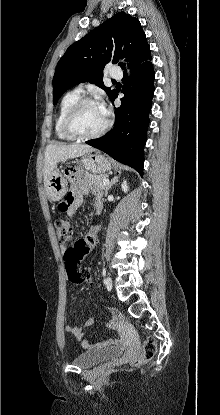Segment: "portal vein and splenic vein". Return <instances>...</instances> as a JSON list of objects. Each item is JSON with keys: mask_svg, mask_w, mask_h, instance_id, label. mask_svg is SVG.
<instances>
[{"mask_svg": "<svg viewBox=\"0 0 220 415\" xmlns=\"http://www.w3.org/2000/svg\"><path fill=\"white\" fill-rule=\"evenodd\" d=\"M108 183H109V179L106 178L103 180V185H107Z\"/></svg>", "mask_w": 220, "mask_h": 415, "instance_id": "obj_1", "label": "portal vein and splenic vein"}]
</instances>
